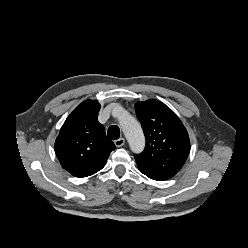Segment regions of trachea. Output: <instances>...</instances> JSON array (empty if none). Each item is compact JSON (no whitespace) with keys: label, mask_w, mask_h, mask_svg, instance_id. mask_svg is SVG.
<instances>
[{"label":"trachea","mask_w":248,"mask_h":248,"mask_svg":"<svg viewBox=\"0 0 248 248\" xmlns=\"http://www.w3.org/2000/svg\"><path fill=\"white\" fill-rule=\"evenodd\" d=\"M107 135L110 139L112 140H117L119 139L120 137V129L118 126L116 125H111L109 128H108V132H107Z\"/></svg>","instance_id":"obj_1"}]
</instances>
